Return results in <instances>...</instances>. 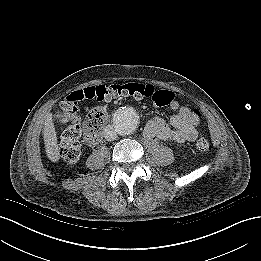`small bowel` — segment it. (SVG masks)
<instances>
[{
	"label": "small bowel",
	"instance_id": "c3829d8e",
	"mask_svg": "<svg viewBox=\"0 0 261 261\" xmlns=\"http://www.w3.org/2000/svg\"><path fill=\"white\" fill-rule=\"evenodd\" d=\"M168 107L176 113L170 118L169 123L164 119L155 117L148 121L145 135L148 138H158L176 143L193 142L198 137L197 126L200 117L196 116L194 109L180 104L173 98ZM87 111L88 108H85Z\"/></svg>",
	"mask_w": 261,
	"mask_h": 261
}]
</instances>
